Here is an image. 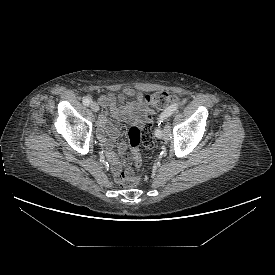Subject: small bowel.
I'll return each mask as SVG.
<instances>
[{"label":"small bowel","mask_w":275,"mask_h":275,"mask_svg":"<svg viewBox=\"0 0 275 275\" xmlns=\"http://www.w3.org/2000/svg\"><path fill=\"white\" fill-rule=\"evenodd\" d=\"M99 101L101 114L98 120V137L111 163L114 178L121 183L127 176L131 175V171L129 169L122 171L114 146L116 145L118 153L123 154L126 151V144L124 142L117 143L120 132L110 122L109 117L144 127L148 123L152 125L155 113L147 107L144 94L131 87L124 88L119 95L104 94L100 96ZM131 160L132 158L127 156L125 163L129 165Z\"/></svg>","instance_id":"obj_1"}]
</instances>
